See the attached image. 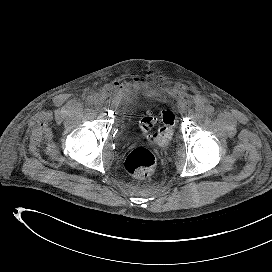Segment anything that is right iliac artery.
<instances>
[{
    "mask_svg": "<svg viewBox=\"0 0 272 272\" xmlns=\"http://www.w3.org/2000/svg\"><path fill=\"white\" fill-rule=\"evenodd\" d=\"M86 103H87L88 105H92V103H93V98H92L91 96L87 97Z\"/></svg>",
    "mask_w": 272,
    "mask_h": 272,
    "instance_id": "1",
    "label": "right iliac artery"
}]
</instances>
